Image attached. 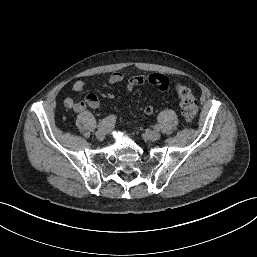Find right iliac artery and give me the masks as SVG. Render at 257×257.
Listing matches in <instances>:
<instances>
[{"label":"right iliac artery","instance_id":"1","mask_svg":"<svg viewBox=\"0 0 257 257\" xmlns=\"http://www.w3.org/2000/svg\"><path fill=\"white\" fill-rule=\"evenodd\" d=\"M115 122H116V116L111 115V116H108L105 119L101 120L98 123L97 128L98 129H103V128H106V127H109V126H113L115 124Z\"/></svg>","mask_w":257,"mask_h":257}]
</instances>
